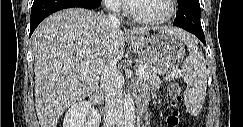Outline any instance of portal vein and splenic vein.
Returning <instances> with one entry per match:
<instances>
[{"label": "portal vein and splenic vein", "mask_w": 243, "mask_h": 127, "mask_svg": "<svg viewBox=\"0 0 243 127\" xmlns=\"http://www.w3.org/2000/svg\"><path fill=\"white\" fill-rule=\"evenodd\" d=\"M87 72H88V69L83 70L84 74H86ZM143 73H144V70L142 68H138L137 71H136L137 75H143Z\"/></svg>", "instance_id": "18ae733b"}]
</instances>
